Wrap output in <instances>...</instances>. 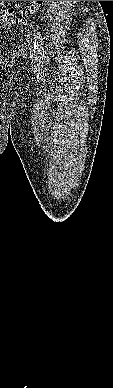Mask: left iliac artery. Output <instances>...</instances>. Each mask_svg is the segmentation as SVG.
<instances>
[{
	"mask_svg": "<svg viewBox=\"0 0 113 388\" xmlns=\"http://www.w3.org/2000/svg\"><path fill=\"white\" fill-rule=\"evenodd\" d=\"M34 39H35L34 48L39 53L40 50L42 49L43 44H42V36H41L40 32L37 30H35V32H34Z\"/></svg>",
	"mask_w": 113,
	"mask_h": 388,
	"instance_id": "obj_1",
	"label": "left iliac artery"
}]
</instances>
